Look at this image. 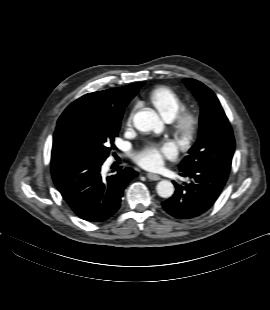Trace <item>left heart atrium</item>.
<instances>
[{
	"instance_id": "39dd6f15",
	"label": "left heart atrium",
	"mask_w": 270,
	"mask_h": 310,
	"mask_svg": "<svg viewBox=\"0 0 270 310\" xmlns=\"http://www.w3.org/2000/svg\"><path fill=\"white\" fill-rule=\"evenodd\" d=\"M175 155V149L170 143H162L147 147L140 153L136 160L147 169L159 167L165 158H172Z\"/></svg>"
}]
</instances>
